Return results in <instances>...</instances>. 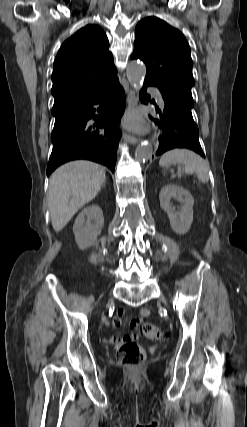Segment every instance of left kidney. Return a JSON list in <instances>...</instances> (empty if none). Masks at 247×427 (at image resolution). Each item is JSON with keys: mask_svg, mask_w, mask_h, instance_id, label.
I'll list each match as a JSON object with an SVG mask.
<instances>
[{"mask_svg": "<svg viewBox=\"0 0 247 427\" xmlns=\"http://www.w3.org/2000/svg\"><path fill=\"white\" fill-rule=\"evenodd\" d=\"M172 197L182 203L180 210L176 211L170 204ZM159 199L161 208L168 214L172 230L180 235L186 234L193 222L194 199L191 193L182 186L168 184L161 189Z\"/></svg>", "mask_w": 247, "mask_h": 427, "instance_id": "left-kidney-1", "label": "left kidney"}]
</instances>
